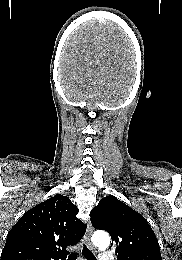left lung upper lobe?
<instances>
[{"instance_id": "obj_1", "label": "left lung upper lobe", "mask_w": 182, "mask_h": 260, "mask_svg": "<svg viewBox=\"0 0 182 260\" xmlns=\"http://www.w3.org/2000/svg\"><path fill=\"white\" fill-rule=\"evenodd\" d=\"M91 223L112 238L117 260H162L158 240L146 219L114 196L91 211Z\"/></svg>"}]
</instances>
